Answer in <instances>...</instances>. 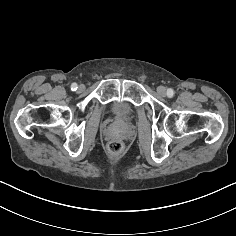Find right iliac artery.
<instances>
[{
	"label": "right iliac artery",
	"mask_w": 236,
	"mask_h": 236,
	"mask_svg": "<svg viewBox=\"0 0 236 236\" xmlns=\"http://www.w3.org/2000/svg\"><path fill=\"white\" fill-rule=\"evenodd\" d=\"M77 84L76 83H72V85H71V90L72 91H76L77 90Z\"/></svg>",
	"instance_id": "82829eb1"
}]
</instances>
